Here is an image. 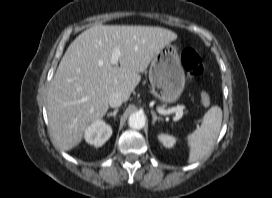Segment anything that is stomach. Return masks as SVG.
I'll return each mask as SVG.
<instances>
[{"label":"stomach","mask_w":272,"mask_h":198,"mask_svg":"<svg viewBox=\"0 0 272 198\" xmlns=\"http://www.w3.org/2000/svg\"><path fill=\"white\" fill-rule=\"evenodd\" d=\"M149 80L156 98L161 102L177 101L185 86V74L177 49L167 44L151 61Z\"/></svg>","instance_id":"stomach-1"}]
</instances>
